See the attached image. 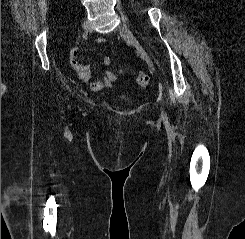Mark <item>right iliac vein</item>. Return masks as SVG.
<instances>
[{"label":"right iliac vein","instance_id":"obj_1","mask_svg":"<svg viewBox=\"0 0 245 239\" xmlns=\"http://www.w3.org/2000/svg\"><path fill=\"white\" fill-rule=\"evenodd\" d=\"M82 27L85 31H90L91 30V25H90V22L85 20L82 24Z\"/></svg>","mask_w":245,"mask_h":239}]
</instances>
